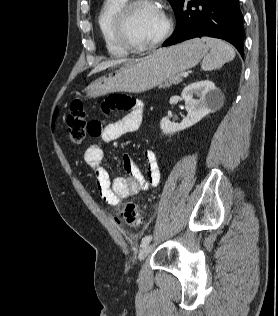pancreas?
<instances>
[{
  "label": "pancreas",
  "mask_w": 278,
  "mask_h": 316,
  "mask_svg": "<svg viewBox=\"0 0 278 316\" xmlns=\"http://www.w3.org/2000/svg\"><path fill=\"white\" fill-rule=\"evenodd\" d=\"M182 81V74L179 73V74H176V75H173L171 77H169L165 82L164 84H160L159 85V88H168L170 87L171 85H177L179 84L180 82Z\"/></svg>",
  "instance_id": "1"
}]
</instances>
